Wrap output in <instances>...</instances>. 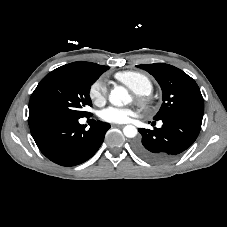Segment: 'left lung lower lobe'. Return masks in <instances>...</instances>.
I'll return each mask as SVG.
<instances>
[{
    "mask_svg": "<svg viewBox=\"0 0 227 227\" xmlns=\"http://www.w3.org/2000/svg\"><path fill=\"white\" fill-rule=\"evenodd\" d=\"M161 128H140L142 138L135 142L134 150L143 159L152 163H166L189 148L196 140L202 117L183 114L160 119Z\"/></svg>",
    "mask_w": 227,
    "mask_h": 227,
    "instance_id": "1",
    "label": "left lung lower lobe"
}]
</instances>
